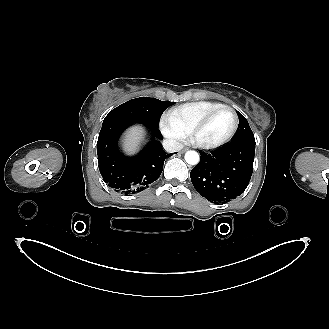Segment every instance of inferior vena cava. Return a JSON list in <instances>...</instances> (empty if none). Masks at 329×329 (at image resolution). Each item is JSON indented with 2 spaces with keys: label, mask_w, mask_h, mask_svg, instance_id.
<instances>
[{
  "label": "inferior vena cava",
  "mask_w": 329,
  "mask_h": 329,
  "mask_svg": "<svg viewBox=\"0 0 329 329\" xmlns=\"http://www.w3.org/2000/svg\"><path fill=\"white\" fill-rule=\"evenodd\" d=\"M163 147L167 152L173 153L181 150L183 148V144L173 139H166L163 141Z\"/></svg>",
  "instance_id": "obj_1"
}]
</instances>
